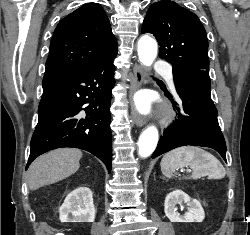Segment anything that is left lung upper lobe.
<instances>
[{
  "mask_svg": "<svg viewBox=\"0 0 250 235\" xmlns=\"http://www.w3.org/2000/svg\"><path fill=\"white\" fill-rule=\"evenodd\" d=\"M153 34L159 57L173 66V76L190 71L209 73L206 31L193 12L173 1L153 3L144 19L142 33Z\"/></svg>",
  "mask_w": 250,
  "mask_h": 235,
  "instance_id": "left-lung-upper-lobe-1",
  "label": "left lung upper lobe"
}]
</instances>
